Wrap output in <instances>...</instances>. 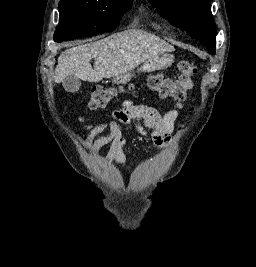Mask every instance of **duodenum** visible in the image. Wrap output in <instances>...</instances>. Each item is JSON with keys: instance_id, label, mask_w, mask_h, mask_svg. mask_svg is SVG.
Listing matches in <instances>:
<instances>
[{"instance_id": "duodenum-1", "label": "duodenum", "mask_w": 256, "mask_h": 267, "mask_svg": "<svg viewBox=\"0 0 256 267\" xmlns=\"http://www.w3.org/2000/svg\"><path fill=\"white\" fill-rule=\"evenodd\" d=\"M148 71H154V66H143L140 69L141 73H148ZM129 79H132V74H130V71H127V74H120V77H116L115 82L124 85L125 82H129Z\"/></svg>"}]
</instances>
